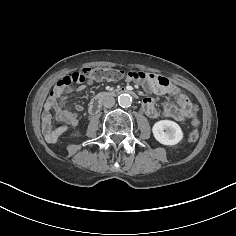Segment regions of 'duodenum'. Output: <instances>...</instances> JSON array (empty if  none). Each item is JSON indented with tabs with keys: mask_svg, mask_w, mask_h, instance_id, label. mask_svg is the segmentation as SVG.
I'll return each instance as SVG.
<instances>
[{
	"mask_svg": "<svg viewBox=\"0 0 236 236\" xmlns=\"http://www.w3.org/2000/svg\"><path fill=\"white\" fill-rule=\"evenodd\" d=\"M127 93L128 94H133L132 90L127 88V87H121V88H117V89H114V90H111V91L100 92L92 100V102H91V104L89 106V109H88L89 114L90 115L96 114L99 111L102 102L107 97L118 96V95L127 94Z\"/></svg>",
	"mask_w": 236,
	"mask_h": 236,
	"instance_id": "410a0bca",
	"label": "duodenum"
}]
</instances>
